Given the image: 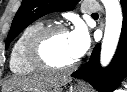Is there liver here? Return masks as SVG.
Segmentation results:
<instances>
[{
	"label": "liver",
	"instance_id": "liver-1",
	"mask_svg": "<svg viewBox=\"0 0 127 92\" xmlns=\"http://www.w3.org/2000/svg\"><path fill=\"white\" fill-rule=\"evenodd\" d=\"M71 79L66 76L40 75L32 77H12L5 81L2 92H56L60 86L70 83Z\"/></svg>",
	"mask_w": 127,
	"mask_h": 92
}]
</instances>
